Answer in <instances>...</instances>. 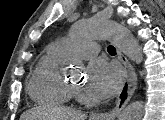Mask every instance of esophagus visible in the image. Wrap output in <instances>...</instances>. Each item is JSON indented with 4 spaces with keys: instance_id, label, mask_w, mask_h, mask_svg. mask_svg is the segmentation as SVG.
Segmentation results:
<instances>
[{
    "instance_id": "34e87169",
    "label": "esophagus",
    "mask_w": 165,
    "mask_h": 120,
    "mask_svg": "<svg viewBox=\"0 0 165 120\" xmlns=\"http://www.w3.org/2000/svg\"><path fill=\"white\" fill-rule=\"evenodd\" d=\"M118 57L126 70V78L118 94L116 105L110 112L94 113L93 120H114L129 102L137 87V75L128 59L118 50Z\"/></svg>"
}]
</instances>
